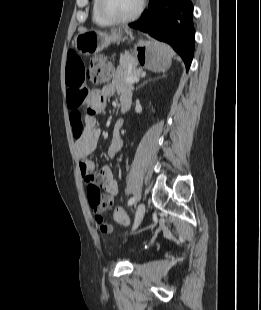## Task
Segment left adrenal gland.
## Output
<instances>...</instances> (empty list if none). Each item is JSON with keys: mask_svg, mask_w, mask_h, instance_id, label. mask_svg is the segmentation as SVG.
<instances>
[{"mask_svg": "<svg viewBox=\"0 0 261 310\" xmlns=\"http://www.w3.org/2000/svg\"><path fill=\"white\" fill-rule=\"evenodd\" d=\"M151 80L145 81L143 82L141 85H139L136 90H138L139 88L143 87L145 84H147L148 82H150Z\"/></svg>", "mask_w": 261, "mask_h": 310, "instance_id": "left-adrenal-gland-1", "label": "left adrenal gland"}]
</instances>
